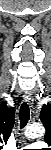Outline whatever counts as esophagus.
I'll return each instance as SVG.
<instances>
[{
	"label": "esophagus",
	"mask_w": 51,
	"mask_h": 150,
	"mask_svg": "<svg viewBox=\"0 0 51 150\" xmlns=\"http://www.w3.org/2000/svg\"><path fill=\"white\" fill-rule=\"evenodd\" d=\"M23 98H24V101H25L30 107L33 106V98H32V96H31V94L25 93V94L23 95Z\"/></svg>",
	"instance_id": "obj_1"
}]
</instances>
